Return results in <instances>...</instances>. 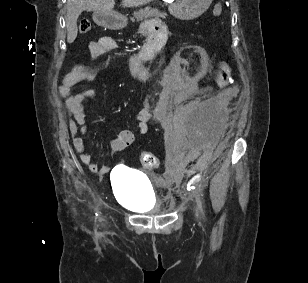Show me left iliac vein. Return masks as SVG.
I'll return each mask as SVG.
<instances>
[{
	"instance_id": "1",
	"label": "left iliac vein",
	"mask_w": 308,
	"mask_h": 283,
	"mask_svg": "<svg viewBox=\"0 0 308 283\" xmlns=\"http://www.w3.org/2000/svg\"><path fill=\"white\" fill-rule=\"evenodd\" d=\"M189 198H190L191 200H193L192 195H189ZM194 208H195L196 215L198 216V215L200 214V212H199V209H198L197 203H195V204H194Z\"/></svg>"
}]
</instances>
